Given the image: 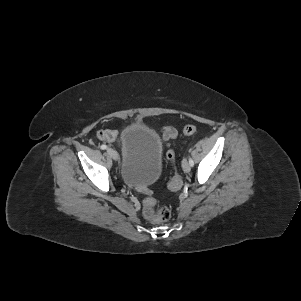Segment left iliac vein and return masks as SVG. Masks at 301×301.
I'll return each mask as SVG.
<instances>
[{
	"instance_id": "1",
	"label": "left iliac vein",
	"mask_w": 301,
	"mask_h": 301,
	"mask_svg": "<svg viewBox=\"0 0 301 301\" xmlns=\"http://www.w3.org/2000/svg\"><path fill=\"white\" fill-rule=\"evenodd\" d=\"M182 167H183V170H184L186 173H189L190 170H191V166H190V164H189V162H188L187 159H183V161H182Z\"/></svg>"
}]
</instances>
